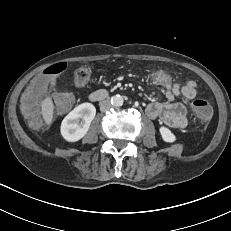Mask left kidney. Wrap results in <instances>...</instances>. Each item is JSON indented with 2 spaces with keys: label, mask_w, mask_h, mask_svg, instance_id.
Wrapping results in <instances>:
<instances>
[{
  "label": "left kidney",
  "mask_w": 231,
  "mask_h": 231,
  "mask_svg": "<svg viewBox=\"0 0 231 231\" xmlns=\"http://www.w3.org/2000/svg\"><path fill=\"white\" fill-rule=\"evenodd\" d=\"M159 131H160L162 139L165 142L172 143V142H174L176 140L175 135L167 127L162 126V127L159 128Z\"/></svg>",
  "instance_id": "1"
}]
</instances>
